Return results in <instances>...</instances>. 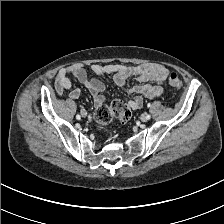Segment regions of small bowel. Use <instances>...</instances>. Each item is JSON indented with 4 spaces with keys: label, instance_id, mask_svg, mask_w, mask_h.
I'll return each instance as SVG.
<instances>
[{
    "label": "small bowel",
    "instance_id": "small-bowel-1",
    "mask_svg": "<svg viewBox=\"0 0 224 224\" xmlns=\"http://www.w3.org/2000/svg\"><path fill=\"white\" fill-rule=\"evenodd\" d=\"M89 67L96 75L113 76L115 84L124 88L126 92L133 94L134 97L127 101L126 105L131 110H138L143 105L144 98H155L163 94L162 83L166 79L168 70L160 64L146 63L141 65L128 66L123 64H73L61 68L55 79V88L58 94L71 89V81L68 78L72 74L84 87H86L93 96L96 107L104 103L105 85L98 79L89 78L87 74ZM129 78H134L141 82L132 87H127L126 82ZM81 96L80 89L70 91L72 99H78Z\"/></svg>",
    "mask_w": 224,
    "mask_h": 224
}]
</instances>
